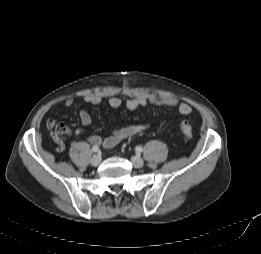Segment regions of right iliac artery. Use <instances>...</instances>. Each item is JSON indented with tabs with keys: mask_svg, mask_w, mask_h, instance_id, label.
Returning <instances> with one entry per match:
<instances>
[{
	"mask_svg": "<svg viewBox=\"0 0 261 254\" xmlns=\"http://www.w3.org/2000/svg\"><path fill=\"white\" fill-rule=\"evenodd\" d=\"M92 151L95 153H98L100 151V149L98 146L95 145V146H93Z\"/></svg>",
	"mask_w": 261,
	"mask_h": 254,
	"instance_id": "right-iliac-artery-1",
	"label": "right iliac artery"
}]
</instances>
